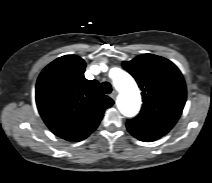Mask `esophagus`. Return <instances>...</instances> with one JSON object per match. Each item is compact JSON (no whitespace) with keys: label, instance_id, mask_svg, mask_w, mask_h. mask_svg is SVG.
Returning a JSON list of instances; mask_svg holds the SVG:
<instances>
[{"label":"esophagus","instance_id":"obj_1","mask_svg":"<svg viewBox=\"0 0 212 183\" xmlns=\"http://www.w3.org/2000/svg\"><path fill=\"white\" fill-rule=\"evenodd\" d=\"M110 97L115 100L116 97H117V91H113L111 94H110Z\"/></svg>","mask_w":212,"mask_h":183}]
</instances>
